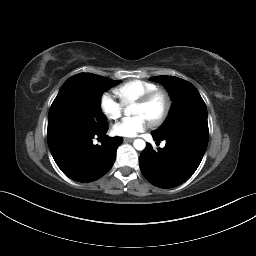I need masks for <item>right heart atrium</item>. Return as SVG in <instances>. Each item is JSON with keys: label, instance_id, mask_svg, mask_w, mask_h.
Masks as SVG:
<instances>
[{"label": "right heart atrium", "instance_id": "obj_1", "mask_svg": "<svg viewBox=\"0 0 256 256\" xmlns=\"http://www.w3.org/2000/svg\"><path fill=\"white\" fill-rule=\"evenodd\" d=\"M100 108L110 120H117L123 113L122 103L115 100L110 94L104 93L100 98Z\"/></svg>", "mask_w": 256, "mask_h": 256}]
</instances>
